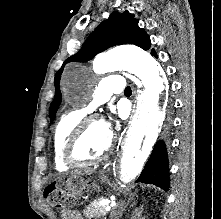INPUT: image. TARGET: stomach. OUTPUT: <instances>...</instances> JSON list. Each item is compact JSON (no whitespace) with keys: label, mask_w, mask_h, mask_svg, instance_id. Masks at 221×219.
I'll list each match as a JSON object with an SVG mask.
<instances>
[{"label":"stomach","mask_w":221,"mask_h":219,"mask_svg":"<svg viewBox=\"0 0 221 219\" xmlns=\"http://www.w3.org/2000/svg\"><path fill=\"white\" fill-rule=\"evenodd\" d=\"M82 178H70V183H83L81 192H92L96 186L94 184H88V182H82Z\"/></svg>","instance_id":"1"}]
</instances>
